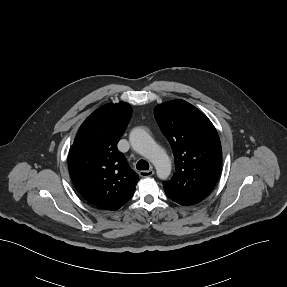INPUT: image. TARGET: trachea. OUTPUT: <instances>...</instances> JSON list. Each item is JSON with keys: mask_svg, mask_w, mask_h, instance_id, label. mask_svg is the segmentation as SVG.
<instances>
[{"mask_svg": "<svg viewBox=\"0 0 287 287\" xmlns=\"http://www.w3.org/2000/svg\"><path fill=\"white\" fill-rule=\"evenodd\" d=\"M136 168L138 170H148L149 169V163L145 160H139L136 164Z\"/></svg>", "mask_w": 287, "mask_h": 287, "instance_id": "trachea-1", "label": "trachea"}]
</instances>
